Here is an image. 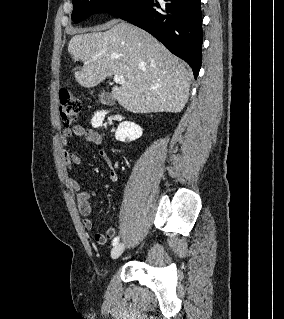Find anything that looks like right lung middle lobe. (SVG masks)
Instances as JSON below:
<instances>
[{
    "label": "right lung middle lobe",
    "instance_id": "obj_1",
    "mask_svg": "<svg viewBox=\"0 0 284 319\" xmlns=\"http://www.w3.org/2000/svg\"><path fill=\"white\" fill-rule=\"evenodd\" d=\"M72 20L78 23L94 13L109 12L117 7L124 6L131 0H72Z\"/></svg>",
    "mask_w": 284,
    "mask_h": 319
}]
</instances>
